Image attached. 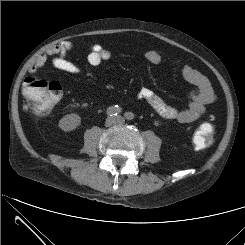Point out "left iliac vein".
I'll return each instance as SVG.
<instances>
[{
	"mask_svg": "<svg viewBox=\"0 0 245 245\" xmlns=\"http://www.w3.org/2000/svg\"><path fill=\"white\" fill-rule=\"evenodd\" d=\"M117 119H118V123H121V124L123 123V119L122 118L119 117Z\"/></svg>",
	"mask_w": 245,
	"mask_h": 245,
	"instance_id": "obj_1",
	"label": "left iliac vein"
}]
</instances>
